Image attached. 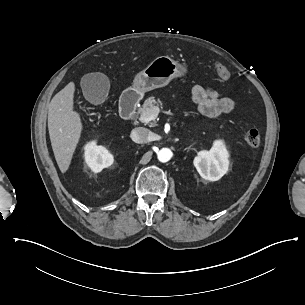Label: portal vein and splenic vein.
I'll return each instance as SVG.
<instances>
[{"mask_svg":"<svg viewBox=\"0 0 305 305\" xmlns=\"http://www.w3.org/2000/svg\"><path fill=\"white\" fill-rule=\"evenodd\" d=\"M159 115V109L154 107L151 109L150 114L148 112H144L139 116V121L141 123H149L152 120H155Z\"/></svg>","mask_w":305,"mask_h":305,"instance_id":"portal-vein-and-splenic-vein-1","label":"portal vein and splenic vein"}]
</instances>
